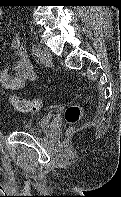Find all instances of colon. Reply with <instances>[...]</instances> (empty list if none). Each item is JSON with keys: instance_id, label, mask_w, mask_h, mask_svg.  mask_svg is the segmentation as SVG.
<instances>
[{"instance_id": "colon-1", "label": "colon", "mask_w": 121, "mask_h": 197, "mask_svg": "<svg viewBox=\"0 0 121 197\" xmlns=\"http://www.w3.org/2000/svg\"><path fill=\"white\" fill-rule=\"evenodd\" d=\"M10 103L21 112H38L42 107V101L39 98L27 100L17 96L10 97ZM82 116V109L78 105H70L64 112L65 120L68 124L74 125L79 122Z\"/></svg>"}]
</instances>
